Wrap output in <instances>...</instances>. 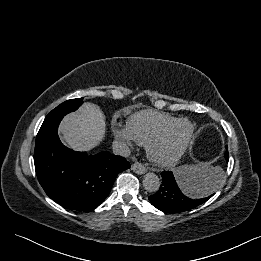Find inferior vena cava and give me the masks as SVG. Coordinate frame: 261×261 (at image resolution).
Listing matches in <instances>:
<instances>
[{"label":"inferior vena cava","mask_w":261,"mask_h":261,"mask_svg":"<svg viewBox=\"0 0 261 261\" xmlns=\"http://www.w3.org/2000/svg\"><path fill=\"white\" fill-rule=\"evenodd\" d=\"M113 153L123 157H128L131 153L129 146L120 140H114L112 144Z\"/></svg>","instance_id":"1"}]
</instances>
